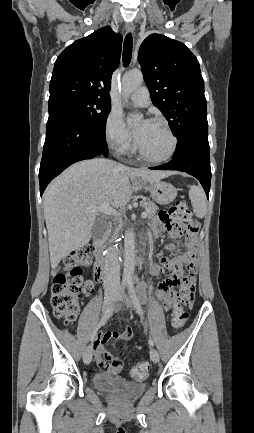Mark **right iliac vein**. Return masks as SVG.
I'll list each match as a JSON object with an SVG mask.
<instances>
[{
    "label": "right iliac vein",
    "mask_w": 254,
    "mask_h": 433,
    "mask_svg": "<svg viewBox=\"0 0 254 433\" xmlns=\"http://www.w3.org/2000/svg\"><path fill=\"white\" fill-rule=\"evenodd\" d=\"M116 296V291H111L105 295L104 308L107 309L111 306ZM92 347L89 345L86 347L83 354V361L85 364H89L92 360Z\"/></svg>",
    "instance_id": "1"
}]
</instances>
